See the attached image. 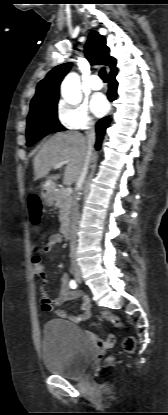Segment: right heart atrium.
Listing matches in <instances>:
<instances>
[{
    "label": "right heart atrium",
    "mask_w": 168,
    "mask_h": 415,
    "mask_svg": "<svg viewBox=\"0 0 168 415\" xmlns=\"http://www.w3.org/2000/svg\"><path fill=\"white\" fill-rule=\"evenodd\" d=\"M56 117L63 128L71 131H87L95 124L87 105L84 103L70 105L66 102H60Z\"/></svg>",
    "instance_id": "d8ad5b80"
}]
</instances>
